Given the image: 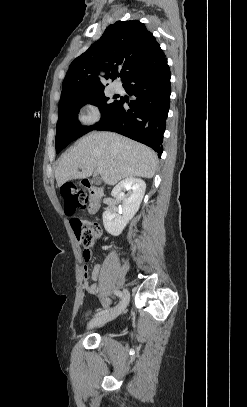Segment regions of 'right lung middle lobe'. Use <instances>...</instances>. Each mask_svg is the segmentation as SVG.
Here are the masks:
<instances>
[{"instance_id":"1","label":"right lung middle lobe","mask_w":247,"mask_h":407,"mask_svg":"<svg viewBox=\"0 0 247 407\" xmlns=\"http://www.w3.org/2000/svg\"><path fill=\"white\" fill-rule=\"evenodd\" d=\"M118 102V100L110 102L109 98L104 95V91H101L91 96L59 105L55 139L56 153L61 152L69 143L93 130L97 125L81 128L78 121V112L83 105L90 103L98 106L101 112V122L113 111Z\"/></svg>"}]
</instances>
